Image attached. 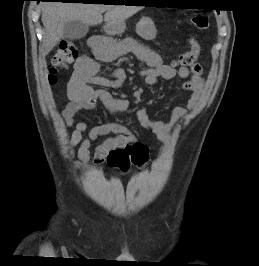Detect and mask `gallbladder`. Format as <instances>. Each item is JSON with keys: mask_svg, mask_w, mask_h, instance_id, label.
Masks as SVG:
<instances>
[{"mask_svg": "<svg viewBox=\"0 0 259 266\" xmlns=\"http://www.w3.org/2000/svg\"><path fill=\"white\" fill-rule=\"evenodd\" d=\"M89 26L79 20H72L65 24L62 37L69 40H79L86 36Z\"/></svg>", "mask_w": 259, "mask_h": 266, "instance_id": "obj_1", "label": "gallbladder"}]
</instances>
